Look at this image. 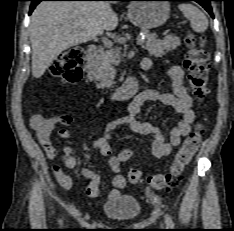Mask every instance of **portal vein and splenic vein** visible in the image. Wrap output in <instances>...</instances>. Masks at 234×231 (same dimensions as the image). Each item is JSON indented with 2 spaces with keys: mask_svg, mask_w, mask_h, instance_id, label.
<instances>
[{
  "mask_svg": "<svg viewBox=\"0 0 234 231\" xmlns=\"http://www.w3.org/2000/svg\"><path fill=\"white\" fill-rule=\"evenodd\" d=\"M102 41H103V43H104L105 45H107V46H111V45H112V43H111L107 38H103ZM144 42H145L144 40L138 39V40H137V45H143Z\"/></svg>",
  "mask_w": 234,
  "mask_h": 231,
  "instance_id": "18ae733b",
  "label": "portal vein and splenic vein"
}]
</instances>
